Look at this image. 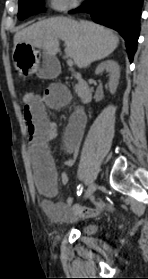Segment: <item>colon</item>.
<instances>
[{
    "mask_svg": "<svg viewBox=\"0 0 148 279\" xmlns=\"http://www.w3.org/2000/svg\"><path fill=\"white\" fill-rule=\"evenodd\" d=\"M36 95L31 91H25L22 95V100L24 104L31 103L35 100Z\"/></svg>",
    "mask_w": 148,
    "mask_h": 279,
    "instance_id": "5ec220e1",
    "label": "colon"
}]
</instances>
